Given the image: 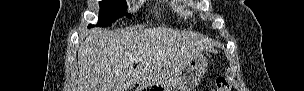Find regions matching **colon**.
Masks as SVG:
<instances>
[{
	"label": "colon",
	"mask_w": 304,
	"mask_h": 91,
	"mask_svg": "<svg viewBox=\"0 0 304 91\" xmlns=\"http://www.w3.org/2000/svg\"><path fill=\"white\" fill-rule=\"evenodd\" d=\"M214 90H216V91H231L232 87L224 77H217L216 80H215Z\"/></svg>",
	"instance_id": "5ec220e1"
}]
</instances>
